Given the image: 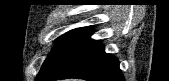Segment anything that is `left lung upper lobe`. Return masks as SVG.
I'll use <instances>...</instances> for the list:
<instances>
[{"instance_id":"obj_1","label":"left lung upper lobe","mask_w":169,"mask_h":81,"mask_svg":"<svg viewBox=\"0 0 169 81\" xmlns=\"http://www.w3.org/2000/svg\"><path fill=\"white\" fill-rule=\"evenodd\" d=\"M83 29L84 28L73 29L57 39L55 48L49 53L48 57L44 61L37 77L45 74L53 67V65L58 61L71 40Z\"/></svg>"}]
</instances>
